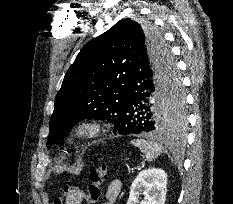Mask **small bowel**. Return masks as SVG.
<instances>
[{
  "instance_id": "small-bowel-1",
  "label": "small bowel",
  "mask_w": 233,
  "mask_h": 204,
  "mask_svg": "<svg viewBox=\"0 0 233 204\" xmlns=\"http://www.w3.org/2000/svg\"><path fill=\"white\" fill-rule=\"evenodd\" d=\"M121 192V182L119 180H111L104 192V200L101 204H115L119 194ZM85 202H90V200H86Z\"/></svg>"
}]
</instances>
